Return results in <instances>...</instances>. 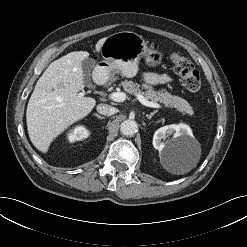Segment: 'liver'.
I'll list each match as a JSON object with an SVG mask.
<instances>
[{
    "label": "liver",
    "mask_w": 247,
    "mask_h": 247,
    "mask_svg": "<svg viewBox=\"0 0 247 247\" xmlns=\"http://www.w3.org/2000/svg\"><path fill=\"white\" fill-rule=\"evenodd\" d=\"M105 39L96 43L97 52ZM88 56L87 51H74L53 61L35 85L26 122L32 144L43 153L59 134L87 116L96 105L94 98L78 93L84 88L82 62Z\"/></svg>",
    "instance_id": "6515ba94"
}]
</instances>
